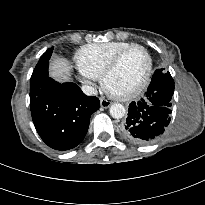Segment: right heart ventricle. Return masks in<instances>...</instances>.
<instances>
[{
  "mask_svg": "<svg viewBox=\"0 0 205 205\" xmlns=\"http://www.w3.org/2000/svg\"><path fill=\"white\" fill-rule=\"evenodd\" d=\"M130 45L132 44L119 41L85 45L77 52V64L81 69L100 78L113 57Z\"/></svg>",
  "mask_w": 205,
  "mask_h": 205,
  "instance_id": "1",
  "label": "right heart ventricle"
}]
</instances>
